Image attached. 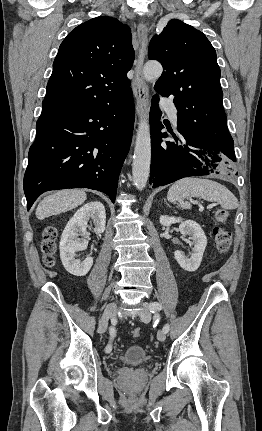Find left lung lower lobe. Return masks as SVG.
I'll use <instances>...</instances> for the list:
<instances>
[{"instance_id": "1", "label": "left lung lower lobe", "mask_w": 262, "mask_h": 431, "mask_svg": "<svg viewBox=\"0 0 262 431\" xmlns=\"http://www.w3.org/2000/svg\"><path fill=\"white\" fill-rule=\"evenodd\" d=\"M161 115L155 95L149 116L152 136L149 183L153 188L185 177L231 172L236 158L230 134L218 141H208L181 131L179 137L170 132L174 140L163 142L161 138L168 134L160 132L164 128Z\"/></svg>"}]
</instances>
